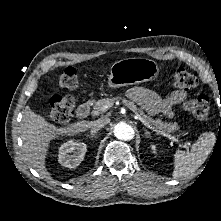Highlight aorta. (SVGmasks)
I'll use <instances>...</instances> for the list:
<instances>
[{"label":"aorta","instance_id":"aorta-1","mask_svg":"<svg viewBox=\"0 0 221 221\" xmlns=\"http://www.w3.org/2000/svg\"><path fill=\"white\" fill-rule=\"evenodd\" d=\"M114 135L119 140H131L134 138L135 132L131 126L126 123L120 122L114 126Z\"/></svg>","mask_w":221,"mask_h":221}]
</instances>
